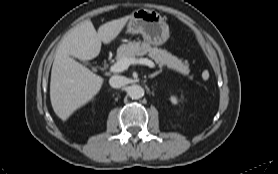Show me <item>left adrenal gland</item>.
I'll return each instance as SVG.
<instances>
[{"label":"left adrenal gland","instance_id":"left-adrenal-gland-1","mask_svg":"<svg viewBox=\"0 0 278 174\" xmlns=\"http://www.w3.org/2000/svg\"><path fill=\"white\" fill-rule=\"evenodd\" d=\"M161 72H162V70L156 71L155 73L150 74V75L148 76V78H154L155 76H157V75L160 74Z\"/></svg>","mask_w":278,"mask_h":174}]
</instances>
